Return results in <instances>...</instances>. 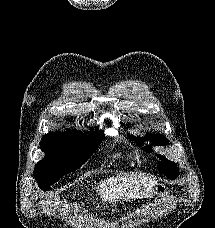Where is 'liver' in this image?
I'll use <instances>...</instances> for the list:
<instances>
[{
    "mask_svg": "<svg viewBox=\"0 0 215 228\" xmlns=\"http://www.w3.org/2000/svg\"><path fill=\"white\" fill-rule=\"evenodd\" d=\"M157 184L147 176H116L100 180L96 190V196L102 198L105 204H115V202H125V200H141L150 198L155 192ZM76 196V194H74Z\"/></svg>",
    "mask_w": 215,
    "mask_h": 228,
    "instance_id": "1",
    "label": "liver"
}]
</instances>
